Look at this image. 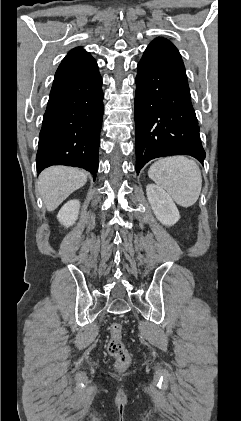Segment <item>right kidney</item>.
I'll list each match as a JSON object with an SVG mask.
<instances>
[{
	"instance_id": "right-kidney-1",
	"label": "right kidney",
	"mask_w": 241,
	"mask_h": 421,
	"mask_svg": "<svg viewBox=\"0 0 241 421\" xmlns=\"http://www.w3.org/2000/svg\"><path fill=\"white\" fill-rule=\"evenodd\" d=\"M80 202L70 200L60 209L57 218L66 227L72 226L78 218Z\"/></svg>"
}]
</instances>
